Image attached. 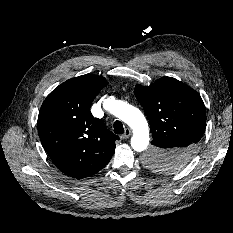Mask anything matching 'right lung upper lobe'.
<instances>
[{"mask_svg":"<svg viewBox=\"0 0 233 233\" xmlns=\"http://www.w3.org/2000/svg\"><path fill=\"white\" fill-rule=\"evenodd\" d=\"M105 78L86 74L69 79L44 100L38 115L41 143L55 166L82 179L96 174L110 161L119 139L90 112Z\"/></svg>","mask_w":233,"mask_h":233,"instance_id":"cb5924a9","label":"right lung upper lobe"}]
</instances>
